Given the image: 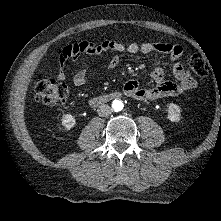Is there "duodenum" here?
<instances>
[{"label":"duodenum","instance_id":"obj_1","mask_svg":"<svg viewBox=\"0 0 221 221\" xmlns=\"http://www.w3.org/2000/svg\"><path fill=\"white\" fill-rule=\"evenodd\" d=\"M121 96L120 92H111L108 94L96 96L90 100V105L92 107H98L104 103H107L113 99L119 98Z\"/></svg>","mask_w":221,"mask_h":221}]
</instances>
